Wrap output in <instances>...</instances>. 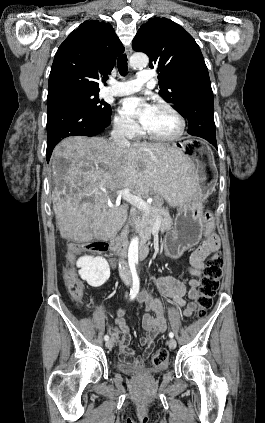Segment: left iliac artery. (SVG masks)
I'll return each mask as SVG.
<instances>
[{
	"label": "left iliac artery",
	"mask_w": 265,
	"mask_h": 423,
	"mask_svg": "<svg viewBox=\"0 0 265 423\" xmlns=\"http://www.w3.org/2000/svg\"><path fill=\"white\" fill-rule=\"evenodd\" d=\"M169 337H170V338H173V337H174V333H173V332H170V333H169Z\"/></svg>",
	"instance_id": "left-iliac-artery-1"
}]
</instances>
